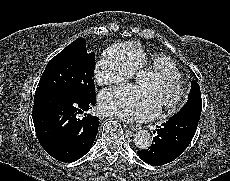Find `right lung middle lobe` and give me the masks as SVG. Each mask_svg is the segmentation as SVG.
Instances as JSON below:
<instances>
[{
    "label": "right lung middle lobe",
    "instance_id": "obj_1",
    "mask_svg": "<svg viewBox=\"0 0 230 181\" xmlns=\"http://www.w3.org/2000/svg\"><path fill=\"white\" fill-rule=\"evenodd\" d=\"M94 68L95 54H87L85 40H75L49 61L35 97L61 93L95 97Z\"/></svg>",
    "mask_w": 230,
    "mask_h": 181
}]
</instances>
